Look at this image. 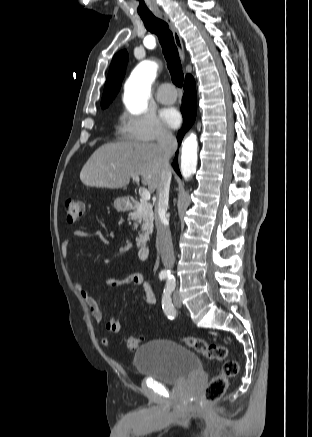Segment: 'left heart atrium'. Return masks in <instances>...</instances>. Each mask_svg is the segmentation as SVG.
Returning <instances> with one entry per match:
<instances>
[{
  "label": "left heart atrium",
  "instance_id": "left-heart-atrium-1",
  "mask_svg": "<svg viewBox=\"0 0 312 437\" xmlns=\"http://www.w3.org/2000/svg\"><path fill=\"white\" fill-rule=\"evenodd\" d=\"M162 119L168 126L176 128L181 122V115L177 109L167 108L162 112Z\"/></svg>",
  "mask_w": 312,
  "mask_h": 437
}]
</instances>
